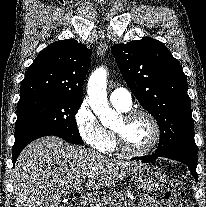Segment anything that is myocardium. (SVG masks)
<instances>
[{"label": "myocardium", "instance_id": "myocardium-1", "mask_svg": "<svg viewBox=\"0 0 206 207\" xmlns=\"http://www.w3.org/2000/svg\"><path fill=\"white\" fill-rule=\"evenodd\" d=\"M146 118L147 120H149V122L152 125L153 128V138L150 142V144L142 150H132L130 148H128V146L126 145L123 135L120 131L114 129L113 133L115 136V140H116V145L117 148L119 149L120 152H122L123 154H125L126 156L129 157H143L146 155H149L158 145L160 139H161V127L159 125V122L157 121V119L149 112L145 111V110H132L128 113H126L123 117L122 120L125 123H128L136 118Z\"/></svg>", "mask_w": 206, "mask_h": 207}]
</instances>
